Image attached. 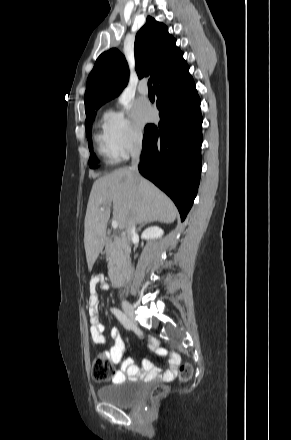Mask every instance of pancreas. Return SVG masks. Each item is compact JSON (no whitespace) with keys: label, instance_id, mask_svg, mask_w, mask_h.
<instances>
[{"label":"pancreas","instance_id":"1","mask_svg":"<svg viewBox=\"0 0 291 440\" xmlns=\"http://www.w3.org/2000/svg\"><path fill=\"white\" fill-rule=\"evenodd\" d=\"M123 248V241L119 237H115L114 239L108 237L105 240V252L109 257V268L120 261L123 253Z\"/></svg>","mask_w":291,"mask_h":440}]
</instances>
